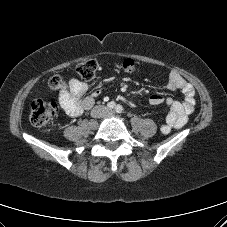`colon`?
<instances>
[{"label": "colon", "mask_w": 227, "mask_h": 227, "mask_svg": "<svg viewBox=\"0 0 227 227\" xmlns=\"http://www.w3.org/2000/svg\"><path fill=\"white\" fill-rule=\"evenodd\" d=\"M121 69L126 74H139L142 72L141 67L133 60L126 59L121 65ZM98 69V65L94 60H87L80 63L76 68V73L83 80H91ZM49 87L53 91L64 90L67 85L64 79L56 75L49 81ZM58 113V105L56 102L46 100L44 98H36L31 103L30 121L36 127H44L52 122Z\"/></svg>", "instance_id": "1"}]
</instances>
